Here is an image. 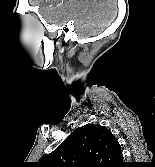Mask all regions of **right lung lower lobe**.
<instances>
[{
  "mask_svg": "<svg viewBox=\"0 0 155 167\" xmlns=\"http://www.w3.org/2000/svg\"><path fill=\"white\" fill-rule=\"evenodd\" d=\"M127 164L126 163H122L121 165H119V167H126Z\"/></svg>",
  "mask_w": 155,
  "mask_h": 167,
  "instance_id": "right-lung-lower-lobe-1",
  "label": "right lung lower lobe"
}]
</instances>
